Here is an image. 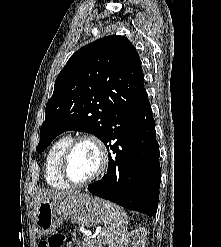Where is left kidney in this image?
Wrapping results in <instances>:
<instances>
[{"label":"left kidney","mask_w":221,"mask_h":247,"mask_svg":"<svg viewBox=\"0 0 221 247\" xmlns=\"http://www.w3.org/2000/svg\"><path fill=\"white\" fill-rule=\"evenodd\" d=\"M147 230L145 228H137L126 234L117 244L110 247H126L132 242L133 247H145Z\"/></svg>","instance_id":"obj_1"}]
</instances>
